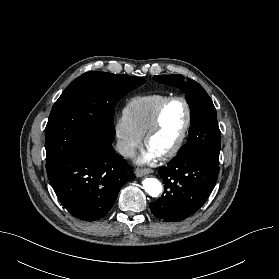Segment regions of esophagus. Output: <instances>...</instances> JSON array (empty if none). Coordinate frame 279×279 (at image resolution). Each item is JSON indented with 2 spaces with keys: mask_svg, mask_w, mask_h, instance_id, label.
Instances as JSON below:
<instances>
[{
  "mask_svg": "<svg viewBox=\"0 0 279 279\" xmlns=\"http://www.w3.org/2000/svg\"><path fill=\"white\" fill-rule=\"evenodd\" d=\"M151 172H152L151 169H147V168H144V169H142V168H137V169L135 170V175H136L137 177H142V176H145V175H147V174H149V173H151Z\"/></svg>",
  "mask_w": 279,
  "mask_h": 279,
  "instance_id": "34e87169",
  "label": "esophagus"
}]
</instances>
